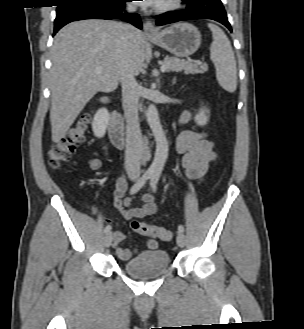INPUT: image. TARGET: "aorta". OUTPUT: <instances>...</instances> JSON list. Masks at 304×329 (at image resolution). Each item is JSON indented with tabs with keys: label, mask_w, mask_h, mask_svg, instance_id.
<instances>
[{
	"label": "aorta",
	"mask_w": 304,
	"mask_h": 329,
	"mask_svg": "<svg viewBox=\"0 0 304 329\" xmlns=\"http://www.w3.org/2000/svg\"><path fill=\"white\" fill-rule=\"evenodd\" d=\"M146 118L156 142L155 157L150 170L153 172H161L168 157V142L160 123L157 108L154 104L148 106Z\"/></svg>",
	"instance_id": "1"
}]
</instances>
